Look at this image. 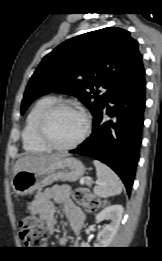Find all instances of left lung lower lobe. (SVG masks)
<instances>
[{"mask_svg": "<svg viewBox=\"0 0 162 261\" xmlns=\"http://www.w3.org/2000/svg\"><path fill=\"white\" fill-rule=\"evenodd\" d=\"M145 88V69L141 63L113 87L103 107L93 115L90 137L70 151L108 165L122 179L128 194L139 160ZM104 114L111 118L105 120Z\"/></svg>", "mask_w": 162, "mask_h": 261, "instance_id": "obj_1", "label": "left lung lower lobe"}]
</instances>
